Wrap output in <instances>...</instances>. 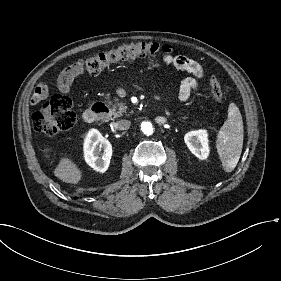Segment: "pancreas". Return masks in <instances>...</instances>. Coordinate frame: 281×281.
<instances>
[{"instance_id": "1", "label": "pancreas", "mask_w": 281, "mask_h": 281, "mask_svg": "<svg viewBox=\"0 0 281 281\" xmlns=\"http://www.w3.org/2000/svg\"><path fill=\"white\" fill-rule=\"evenodd\" d=\"M117 105H118V111L113 109V118H118L122 116V113L125 112L127 109L124 103H118Z\"/></svg>"}]
</instances>
